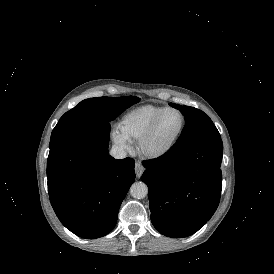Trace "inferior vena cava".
Listing matches in <instances>:
<instances>
[{
    "label": "inferior vena cava",
    "mask_w": 274,
    "mask_h": 274,
    "mask_svg": "<svg viewBox=\"0 0 274 274\" xmlns=\"http://www.w3.org/2000/svg\"><path fill=\"white\" fill-rule=\"evenodd\" d=\"M110 155L116 159H123L127 156V153L122 147L113 145L110 150Z\"/></svg>",
    "instance_id": "inferior-vena-cava-1"
}]
</instances>
